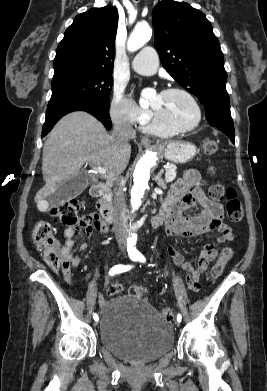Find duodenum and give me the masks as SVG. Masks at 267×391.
<instances>
[{"mask_svg": "<svg viewBox=\"0 0 267 391\" xmlns=\"http://www.w3.org/2000/svg\"><path fill=\"white\" fill-rule=\"evenodd\" d=\"M90 193L97 199L96 208L103 220L108 224L112 223L114 219L113 209L104 201V197L107 193V186L103 183L96 184L92 186ZM162 221V217H156L153 220V225L158 226Z\"/></svg>", "mask_w": 267, "mask_h": 391, "instance_id": "1", "label": "duodenum"}]
</instances>
